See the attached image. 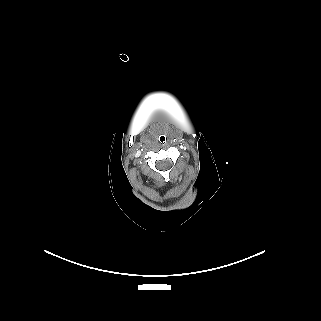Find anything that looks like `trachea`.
<instances>
[{"mask_svg":"<svg viewBox=\"0 0 321 321\" xmlns=\"http://www.w3.org/2000/svg\"><path fill=\"white\" fill-rule=\"evenodd\" d=\"M160 136V141L161 142H166L167 141V136L163 135L162 133L159 135Z\"/></svg>","mask_w":321,"mask_h":321,"instance_id":"1","label":"trachea"}]
</instances>
